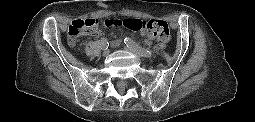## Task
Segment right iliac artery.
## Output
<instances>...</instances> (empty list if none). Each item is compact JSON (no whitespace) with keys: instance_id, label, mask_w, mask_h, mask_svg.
Wrapping results in <instances>:
<instances>
[{"instance_id":"obj_1","label":"right iliac artery","mask_w":255,"mask_h":122,"mask_svg":"<svg viewBox=\"0 0 255 122\" xmlns=\"http://www.w3.org/2000/svg\"><path fill=\"white\" fill-rule=\"evenodd\" d=\"M101 44L103 49H108L109 42L107 41V39H102Z\"/></svg>"}]
</instances>
